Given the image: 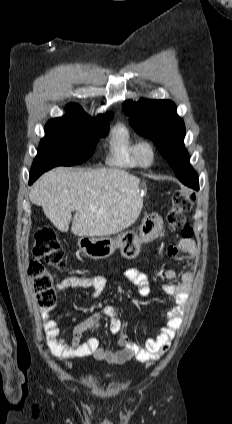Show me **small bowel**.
Returning <instances> with one entry per match:
<instances>
[{
    "label": "small bowel",
    "mask_w": 232,
    "mask_h": 424,
    "mask_svg": "<svg viewBox=\"0 0 232 424\" xmlns=\"http://www.w3.org/2000/svg\"><path fill=\"white\" fill-rule=\"evenodd\" d=\"M166 252L168 256L180 260L188 267H193L198 253L194 241L186 238L180 239L175 245L168 246ZM164 276L172 282L162 287V290L171 297L172 306L164 315L165 326L159 330L155 337L142 343L132 341L123 329L117 309L110 304H104L99 310L92 312L76 324L73 337L68 342L59 338L57 321L50 319L49 311L43 310L40 316L46 332L47 345L52 354L59 359L93 357L114 364L125 363L131 358H136L144 363L157 361L170 349L172 341L182 325L181 317L186 311L193 283V274L189 270L180 273L167 270ZM125 277L137 286L138 295L142 297L150 295L149 279L144 273L136 269H129L125 272ZM72 288H87L91 290L93 297H99L106 290L107 281L103 276L80 274L67 276L58 284V289L61 291ZM103 316L109 318L110 331L117 336L119 349L116 351L102 347L96 337H90L85 342L80 343L81 337L86 332L100 326Z\"/></svg>",
    "instance_id": "c3829d8e"
}]
</instances>
